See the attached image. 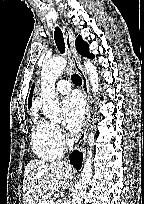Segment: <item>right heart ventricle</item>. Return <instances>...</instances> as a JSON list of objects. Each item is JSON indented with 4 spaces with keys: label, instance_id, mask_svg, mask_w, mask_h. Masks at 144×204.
Masks as SVG:
<instances>
[{
    "label": "right heart ventricle",
    "instance_id": "e07e8e85",
    "mask_svg": "<svg viewBox=\"0 0 144 204\" xmlns=\"http://www.w3.org/2000/svg\"><path fill=\"white\" fill-rule=\"evenodd\" d=\"M31 129V146L38 158L53 161L62 156L63 149L54 141L52 136V125L42 119L37 112L32 115Z\"/></svg>",
    "mask_w": 144,
    "mask_h": 204
}]
</instances>
